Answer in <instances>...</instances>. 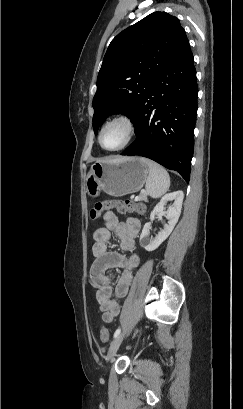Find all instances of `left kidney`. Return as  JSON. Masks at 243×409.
<instances>
[{"instance_id":"obj_1","label":"left kidney","mask_w":243,"mask_h":409,"mask_svg":"<svg viewBox=\"0 0 243 409\" xmlns=\"http://www.w3.org/2000/svg\"><path fill=\"white\" fill-rule=\"evenodd\" d=\"M183 198L184 194L182 191L172 192L163 196L160 202L155 206L150 214V222L144 225L140 236V245L144 247L145 250L149 252L154 251L171 234L179 219ZM168 201H174V204L167 211H165L164 207ZM158 213H163L166 215L168 224L164 225L163 229L156 235L155 238H149L151 222L155 219V215Z\"/></svg>"}]
</instances>
